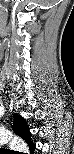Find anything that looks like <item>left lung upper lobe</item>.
Returning a JSON list of instances; mask_svg holds the SVG:
<instances>
[{
    "instance_id": "1",
    "label": "left lung upper lobe",
    "mask_w": 74,
    "mask_h": 154,
    "mask_svg": "<svg viewBox=\"0 0 74 154\" xmlns=\"http://www.w3.org/2000/svg\"><path fill=\"white\" fill-rule=\"evenodd\" d=\"M24 120L22 117H20L19 115H15L14 116V131L17 135H19L20 137H22L23 139H25V133L26 131H24Z\"/></svg>"
}]
</instances>
